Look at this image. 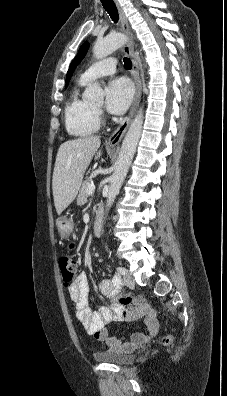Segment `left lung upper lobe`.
Segmentation results:
<instances>
[{
    "label": "left lung upper lobe",
    "mask_w": 227,
    "mask_h": 396,
    "mask_svg": "<svg viewBox=\"0 0 227 396\" xmlns=\"http://www.w3.org/2000/svg\"><path fill=\"white\" fill-rule=\"evenodd\" d=\"M89 44L88 43H84L80 49L79 52L77 54V56L75 57V59L73 60V62L70 64L69 70L67 72V76H66V87L70 81L71 75L73 74L76 66L82 61V59L84 58V56L87 53Z\"/></svg>",
    "instance_id": "left-lung-upper-lobe-1"
}]
</instances>
